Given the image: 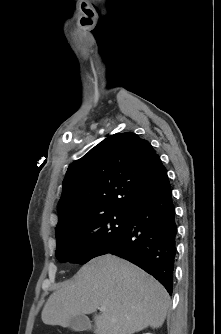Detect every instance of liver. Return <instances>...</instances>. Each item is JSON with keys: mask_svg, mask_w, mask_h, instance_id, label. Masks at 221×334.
<instances>
[{"mask_svg": "<svg viewBox=\"0 0 221 334\" xmlns=\"http://www.w3.org/2000/svg\"><path fill=\"white\" fill-rule=\"evenodd\" d=\"M170 304L165 288L129 261L106 254L82 266L53 292L41 313L46 325L67 327L73 316H94L96 334H134L163 325Z\"/></svg>", "mask_w": 221, "mask_h": 334, "instance_id": "liver-1", "label": "liver"}]
</instances>
